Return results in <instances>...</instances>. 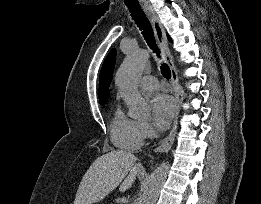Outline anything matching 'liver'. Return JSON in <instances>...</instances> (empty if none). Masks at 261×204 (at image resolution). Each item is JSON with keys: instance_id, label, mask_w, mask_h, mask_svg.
<instances>
[{"instance_id": "1", "label": "liver", "mask_w": 261, "mask_h": 204, "mask_svg": "<svg viewBox=\"0 0 261 204\" xmlns=\"http://www.w3.org/2000/svg\"><path fill=\"white\" fill-rule=\"evenodd\" d=\"M136 161L135 155L123 150L98 157L83 176L74 204L99 202L120 184L121 192L129 189L142 174V165Z\"/></svg>"}]
</instances>
